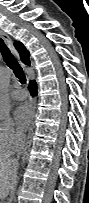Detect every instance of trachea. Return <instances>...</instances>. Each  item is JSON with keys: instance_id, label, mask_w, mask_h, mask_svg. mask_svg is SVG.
<instances>
[{"instance_id": "1", "label": "trachea", "mask_w": 89, "mask_h": 203, "mask_svg": "<svg viewBox=\"0 0 89 203\" xmlns=\"http://www.w3.org/2000/svg\"><path fill=\"white\" fill-rule=\"evenodd\" d=\"M0 52L6 64L13 70L15 76L20 80L22 84L26 83V77L23 69L12 55L9 48L4 43V40L0 38Z\"/></svg>"}]
</instances>
